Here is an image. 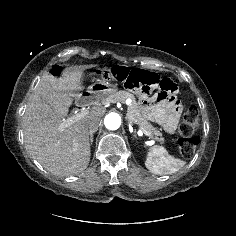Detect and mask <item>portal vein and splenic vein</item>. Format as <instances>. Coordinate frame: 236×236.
<instances>
[{
	"mask_svg": "<svg viewBox=\"0 0 236 236\" xmlns=\"http://www.w3.org/2000/svg\"><path fill=\"white\" fill-rule=\"evenodd\" d=\"M88 113H89L88 110L83 109L81 112L77 113L76 115H73L69 117L68 119H63L60 127L61 128L68 127L72 125L73 123L77 122L78 120L84 118L86 115H88ZM135 124L138 126L140 133H144L145 135L149 136V133L147 131H144L142 129V126L138 122H135Z\"/></svg>",
	"mask_w": 236,
	"mask_h": 236,
	"instance_id": "portal-vein-and-splenic-vein-1",
	"label": "portal vein and splenic vein"
}]
</instances>
